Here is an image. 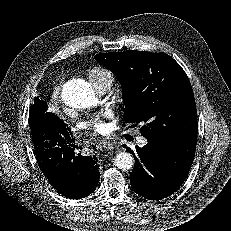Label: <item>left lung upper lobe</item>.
I'll use <instances>...</instances> for the list:
<instances>
[{
	"label": "left lung upper lobe",
	"mask_w": 231,
	"mask_h": 231,
	"mask_svg": "<svg viewBox=\"0 0 231 231\" xmlns=\"http://www.w3.org/2000/svg\"><path fill=\"white\" fill-rule=\"evenodd\" d=\"M94 58L118 78L125 122L144 123L142 136L169 144L197 138L192 87L173 58L165 53L136 50L101 53Z\"/></svg>",
	"instance_id": "left-lung-upper-lobe-1"
}]
</instances>
